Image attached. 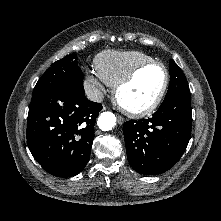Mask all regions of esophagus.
Returning <instances> with one entry per match:
<instances>
[{
	"label": "esophagus",
	"mask_w": 221,
	"mask_h": 221,
	"mask_svg": "<svg viewBox=\"0 0 221 221\" xmlns=\"http://www.w3.org/2000/svg\"><path fill=\"white\" fill-rule=\"evenodd\" d=\"M117 120H118L119 124H123L124 123V119L120 115H117Z\"/></svg>",
	"instance_id": "1"
}]
</instances>
